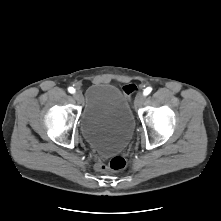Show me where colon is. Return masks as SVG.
<instances>
[{"label": "colon", "mask_w": 221, "mask_h": 221, "mask_svg": "<svg viewBox=\"0 0 221 221\" xmlns=\"http://www.w3.org/2000/svg\"><path fill=\"white\" fill-rule=\"evenodd\" d=\"M137 90V87L135 84H127L123 87V92L125 96L129 97L132 93H134ZM126 159L123 156H114L112 157L107 164L105 163H98L97 169L105 172V171H120L123 170L126 167Z\"/></svg>", "instance_id": "colon-1"}]
</instances>
